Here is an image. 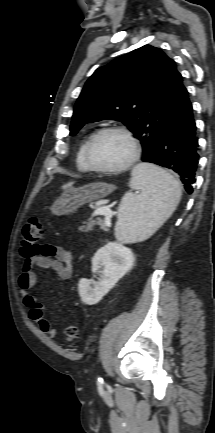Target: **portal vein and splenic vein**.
I'll return each instance as SVG.
<instances>
[{"label": "portal vein and splenic vein", "mask_w": 215, "mask_h": 433, "mask_svg": "<svg viewBox=\"0 0 215 433\" xmlns=\"http://www.w3.org/2000/svg\"><path fill=\"white\" fill-rule=\"evenodd\" d=\"M93 215H103L105 217V225L107 227L111 226V222L110 219L113 215V212L111 211V209L107 206H102L100 208H98L97 210H95V212L93 213Z\"/></svg>", "instance_id": "portal-vein-and-splenic-vein-1"}]
</instances>
